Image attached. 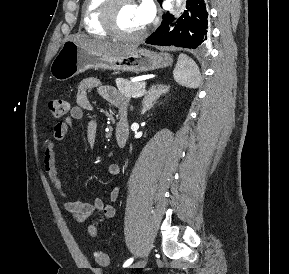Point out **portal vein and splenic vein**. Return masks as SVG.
<instances>
[{"label":"portal vein and splenic vein","instance_id":"obj_1","mask_svg":"<svg viewBox=\"0 0 289 274\" xmlns=\"http://www.w3.org/2000/svg\"><path fill=\"white\" fill-rule=\"evenodd\" d=\"M145 92H146V91L143 89V90L137 92V93H136L135 95H133L132 97H133V98L141 97V96H143V95L145 94Z\"/></svg>","mask_w":289,"mask_h":274}]
</instances>
